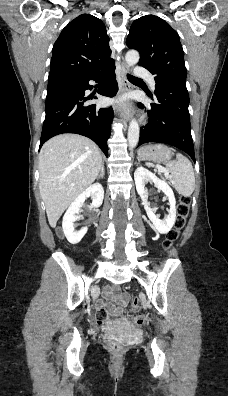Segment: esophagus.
Segmentation results:
<instances>
[{"label":"esophagus","mask_w":228,"mask_h":396,"mask_svg":"<svg viewBox=\"0 0 228 396\" xmlns=\"http://www.w3.org/2000/svg\"><path fill=\"white\" fill-rule=\"evenodd\" d=\"M129 71V67L126 64H123L121 69H120V77H121V82H120V88L119 92L121 94H125L131 89V85L129 81L126 78V75ZM119 118L122 121L129 122L131 118V104L130 102L126 104H119Z\"/></svg>","instance_id":"34e87169"}]
</instances>
